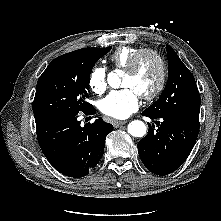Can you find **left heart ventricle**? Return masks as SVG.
<instances>
[{"instance_id":"b2bd125f","label":"left heart ventricle","mask_w":221,"mask_h":221,"mask_svg":"<svg viewBox=\"0 0 221 221\" xmlns=\"http://www.w3.org/2000/svg\"><path fill=\"white\" fill-rule=\"evenodd\" d=\"M160 78L158 62L151 55H144L134 74L125 73L123 87H131L139 96L155 89Z\"/></svg>"}]
</instances>
